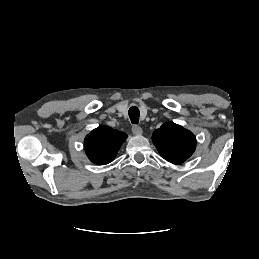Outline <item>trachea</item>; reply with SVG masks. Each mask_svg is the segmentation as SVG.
<instances>
[{"instance_id": "1", "label": "trachea", "mask_w": 259, "mask_h": 259, "mask_svg": "<svg viewBox=\"0 0 259 259\" xmlns=\"http://www.w3.org/2000/svg\"><path fill=\"white\" fill-rule=\"evenodd\" d=\"M130 120L133 124H138L140 112L139 109L135 106L131 107L128 111Z\"/></svg>"}]
</instances>
